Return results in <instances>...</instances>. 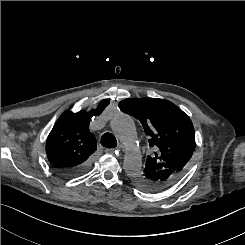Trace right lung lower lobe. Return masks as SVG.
I'll return each instance as SVG.
<instances>
[{
	"label": "right lung lower lobe",
	"mask_w": 245,
	"mask_h": 245,
	"mask_svg": "<svg viewBox=\"0 0 245 245\" xmlns=\"http://www.w3.org/2000/svg\"><path fill=\"white\" fill-rule=\"evenodd\" d=\"M90 167H91V160L72 169H56V170L67 177H75L84 174L90 169Z\"/></svg>",
	"instance_id": "98d812e1"
}]
</instances>
